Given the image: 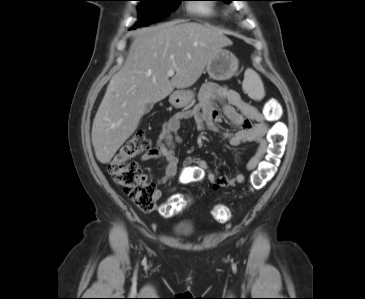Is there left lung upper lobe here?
<instances>
[{"label": "left lung upper lobe", "instance_id": "5c2ea615", "mask_svg": "<svg viewBox=\"0 0 365 299\" xmlns=\"http://www.w3.org/2000/svg\"><path fill=\"white\" fill-rule=\"evenodd\" d=\"M224 1H234V0H224Z\"/></svg>", "mask_w": 365, "mask_h": 299}]
</instances>
